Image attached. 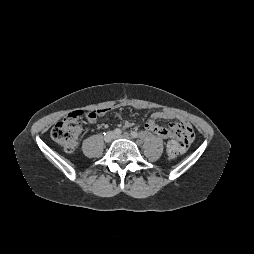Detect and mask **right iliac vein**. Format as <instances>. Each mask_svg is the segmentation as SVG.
Here are the masks:
<instances>
[{"label": "right iliac vein", "mask_w": 254, "mask_h": 254, "mask_svg": "<svg viewBox=\"0 0 254 254\" xmlns=\"http://www.w3.org/2000/svg\"><path fill=\"white\" fill-rule=\"evenodd\" d=\"M114 139V133L113 132H107L104 136V141L106 143L111 142Z\"/></svg>", "instance_id": "1"}]
</instances>
